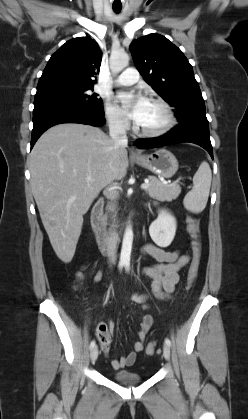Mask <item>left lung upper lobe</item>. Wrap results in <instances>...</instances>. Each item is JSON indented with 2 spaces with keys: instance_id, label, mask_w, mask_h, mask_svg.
I'll use <instances>...</instances> for the list:
<instances>
[{
  "instance_id": "1",
  "label": "left lung upper lobe",
  "mask_w": 248,
  "mask_h": 419,
  "mask_svg": "<svg viewBox=\"0 0 248 419\" xmlns=\"http://www.w3.org/2000/svg\"><path fill=\"white\" fill-rule=\"evenodd\" d=\"M133 61L144 80L182 119L194 112H206L198 82L183 52L167 38L149 34L130 45Z\"/></svg>"
}]
</instances>
